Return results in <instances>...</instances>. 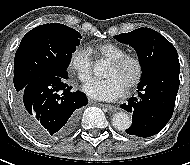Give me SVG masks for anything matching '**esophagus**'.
<instances>
[{
  "label": "esophagus",
  "mask_w": 190,
  "mask_h": 165,
  "mask_svg": "<svg viewBox=\"0 0 190 165\" xmlns=\"http://www.w3.org/2000/svg\"><path fill=\"white\" fill-rule=\"evenodd\" d=\"M101 107H104V108H107L109 111H116L118 108L114 105H111V104H102L100 103L99 104Z\"/></svg>",
  "instance_id": "esophagus-1"
}]
</instances>
